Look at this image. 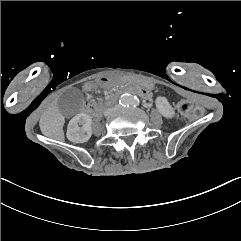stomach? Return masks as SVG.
Returning <instances> with one entry per match:
<instances>
[{
	"mask_svg": "<svg viewBox=\"0 0 241 241\" xmlns=\"http://www.w3.org/2000/svg\"><path fill=\"white\" fill-rule=\"evenodd\" d=\"M114 84H137L147 88H153L154 84L148 79L136 78L133 76L119 75L114 80Z\"/></svg>",
	"mask_w": 241,
	"mask_h": 241,
	"instance_id": "stomach-1",
	"label": "stomach"
}]
</instances>
